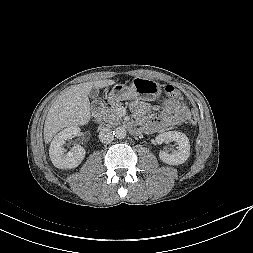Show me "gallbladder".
<instances>
[{"label": "gallbladder", "mask_w": 253, "mask_h": 253, "mask_svg": "<svg viewBox=\"0 0 253 253\" xmlns=\"http://www.w3.org/2000/svg\"><path fill=\"white\" fill-rule=\"evenodd\" d=\"M98 90L96 88H92L88 94V96L91 98V99H95L97 98L98 96Z\"/></svg>", "instance_id": "1"}]
</instances>
